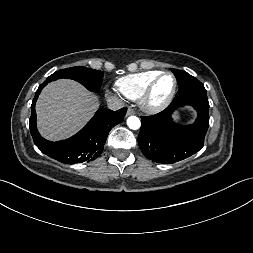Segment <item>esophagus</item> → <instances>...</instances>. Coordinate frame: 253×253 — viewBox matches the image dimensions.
Instances as JSON below:
<instances>
[{
    "label": "esophagus",
    "mask_w": 253,
    "mask_h": 253,
    "mask_svg": "<svg viewBox=\"0 0 253 253\" xmlns=\"http://www.w3.org/2000/svg\"><path fill=\"white\" fill-rule=\"evenodd\" d=\"M135 112L132 108H128L127 110V116L133 115Z\"/></svg>",
    "instance_id": "1"
}]
</instances>
